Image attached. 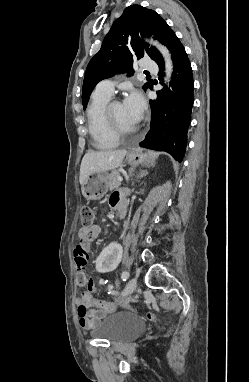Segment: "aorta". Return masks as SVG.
<instances>
[{
	"label": "aorta",
	"instance_id": "762f6f07",
	"mask_svg": "<svg viewBox=\"0 0 249 382\" xmlns=\"http://www.w3.org/2000/svg\"><path fill=\"white\" fill-rule=\"evenodd\" d=\"M150 44L154 45L162 54L164 61H165V71H166V77H165V83L170 81L172 72H173V63L171 60L170 52L169 50L162 45L161 43L151 40Z\"/></svg>",
	"mask_w": 249,
	"mask_h": 382
}]
</instances>
